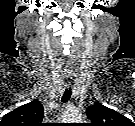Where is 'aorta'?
Listing matches in <instances>:
<instances>
[{"label": "aorta", "instance_id": "obj_1", "mask_svg": "<svg viewBox=\"0 0 135 126\" xmlns=\"http://www.w3.org/2000/svg\"><path fill=\"white\" fill-rule=\"evenodd\" d=\"M80 119H81V117L78 115L72 118V120H75V121H80Z\"/></svg>", "mask_w": 135, "mask_h": 126}]
</instances>
